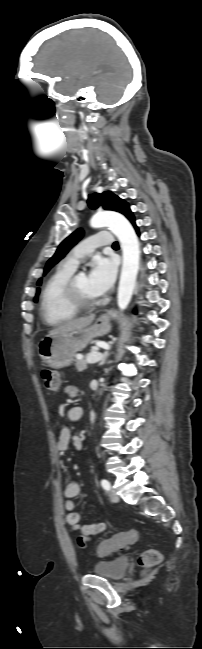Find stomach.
<instances>
[{
	"mask_svg": "<svg viewBox=\"0 0 202 649\" xmlns=\"http://www.w3.org/2000/svg\"><path fill=\"white\" fill-rule=\"evenodd\" d=\"M109 331V317L102 315L89 328L46 336L38 343V354L45 364L60 369L70 365L75 354L82 351L95 338Z\"/></svg>",
	"mask_w": 202,
	"mask_h": 649,
	"instance_id": "stomach-1",
	"label": "stomach"
}]
</instances>
